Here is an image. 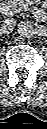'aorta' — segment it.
Masks as SVG:
<instances>
[{
  "label": "aorta",
  "mask_w": 47,
  "mask_h": 129,
  "mask_svg": "<svg viewBox=\"0 0 47 129\" xmlns=\"http://www.w3.org/2000/svg\"><path fill=\"white\" fill-rule=\"evenodd\" d=\"M17 32L23 37H31L35 32V26L31 21H21L17 26Z\"/></svg>",
  "instance_id": "762f6f07"
}]
</instances>
